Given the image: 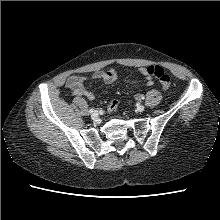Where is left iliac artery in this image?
Instances as JSON below:
<instances>
[{"mask_svg": "<svg viewBox=\"0 0 220 220\" xmlns=\"http://www.w3.org/2000/svg\"><path fill=\"white\" fill-rule=\"evenodd\" d=\"M140 99H145V96L144 95H140Z\"/></svg>", "mask_w": 220, "mask_h": 220, "instance_id": "left-iliac-artery-1", "label": "left iliac artery"}]
</instances>
